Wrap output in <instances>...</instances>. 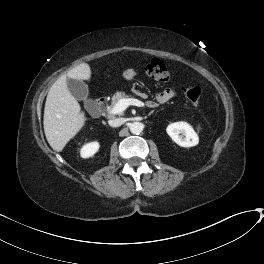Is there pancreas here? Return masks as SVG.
Instances as JSON below:
<instances>
[{"mask_svg": "<svg viewBox=\"0 0 264 264\" xmlns=\"http://www.w3.org/2000/svg\"><path fill=\"white\" fill-rule=\"evenodd\" d=\"M125 98H128V95L125 94V92L123 91L116 92L112 97V102H111V106L109 107V109L111 110L119 100L125 99Z\"/></svg>", "mask_w": 264, "mask_h": 264, "instance_id": "cf45deb5", "label": "pancreas"}]
</instances>
